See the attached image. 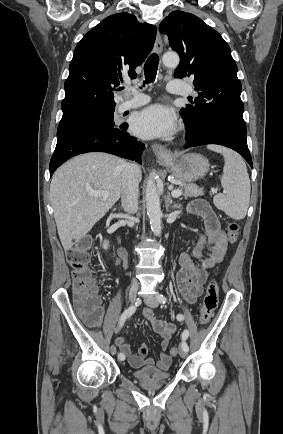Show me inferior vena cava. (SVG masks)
I'll return each instance as SVG.
<instances>
[{"label": "inferior vena cava", "instance_id": "obj_1", "mask_svg": "<svg viewBox=\"0 0 283 434\" xmlns=\"http://www.w3.org/2000/svg\"><path fill=\"white\" fill-rule=\"evenodd\" d=\"M139 167L136 164L123 163L121 203L125 212L134 214L138 210Z\"/></svg>", "mask_w": 283, "mask_h": 434}]
</instances>
